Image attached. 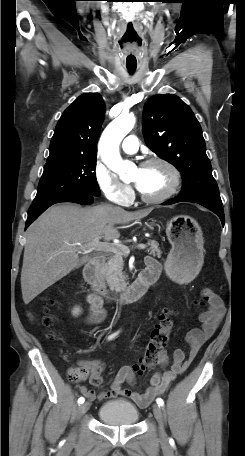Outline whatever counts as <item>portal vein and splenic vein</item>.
Instances as JSON below:
<instances>
[{
	"label": "portal vein and splenic vein",
	"instance_id": "1",
	"mask_svg": "<svg viewBox=\"0 0 245 456\" xmlns=\"http://www.w3.org/2000/svg\"><path fill=\"white\" fill-rule=\"evenodd\" d=\"M73 246H78L86 251H104V252H113L116 253L118 248H120L126 255L130 253V249L124 245H115L107 242H100V237H96L90 244L82 245L81 243H75ZM136 248L144 250L146 245L138 244Z\"/></svg>",
	"mask_w": 245,
	"mask_h": 456
}]
</instances>
